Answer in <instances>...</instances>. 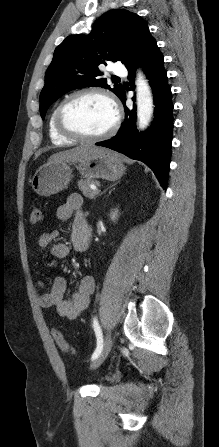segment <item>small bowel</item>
Instances as JSON below:
<instances>
[{
	"label": "small bowel",
	"mask_w": 219,
	"mask_h": 447,
	"mask_svg": "<svg viewBox=\"0 0 219 447\" xmlns=\"http://www.w3.org/2000/svg\"><path fill=\"white\" fill-rule=\"evenodd\" d=\"M82 206V196L71 194L66 203L59 206L56 211L58 221H68L73 217V246L77 251H83L82 248L85 242ZM59 234L60 231L58 229H51L39 236L37 244L41 249L50 247L53 257L65 259L69 255L70 248L66 243H56ZM66 286L67 280L63 276L55 278L47 292H43V284L37 282L36 287L40 290L37 294V300L43 308H55L61 316L68 319H76L87 309L90 297L94 292L95 281L90 275L82 277L77 291L69 298L64 297Z\"/></svg>",
	"instance_id": "1"
}]
</instances>
